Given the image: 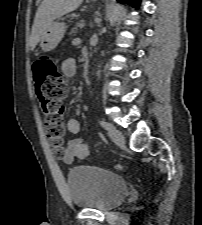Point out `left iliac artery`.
<instances>
[{
    "mask_svg": "<svg viewBox=\"0 0 202 225\" xmlns=\"http://www.w3.org/2000/svg\"><path fill=\"white\" fill-rule=\"evenodd\" d=\"M99 123L101 124L102 127H104L106 130H111L113 129V125H111L110 123L108 122H105L104 120H99Z\"/></svg>",
    "mask_w": 202,
    "mask_h": 225,
    "instance_id": "1",
    "label": "left iliac artery"
}]
</instances>
